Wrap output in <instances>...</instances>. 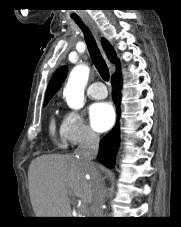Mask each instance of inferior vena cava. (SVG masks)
I'll use <instances>...</instances> for the list:
<instances>
[{
    "label": "inferior vena cava",
    "instance_id": "obj_1",
    "mask_svg": "<svg viewBox=\"0 0 181 227\" xmlns=\"http://www.w3.org/2000/svg\"><path fill=\"white\" fill-rule=\"evenodd\" d=\"M98 148L99 136L92 130L88 129L84 141L80 143L78 148L75 150V154L79 159L93 170V217H103L104 214L103 205L105 199V187L93 163L94 158L97 156Z\"/></svg>",
    "mask_w": 181,
    "mask_h": 227
}]
</instances>
